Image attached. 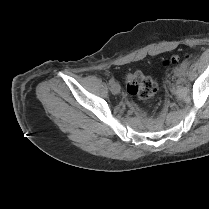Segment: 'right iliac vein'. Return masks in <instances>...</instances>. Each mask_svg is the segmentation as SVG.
I'll list each match as a JSON object with an SVG mask.
<instances>
[{
    "label": "right iliac vein",
    "instance_id": "obj_1",
    "mask_svg": "<svg viewBox=\"0 0 209 209\" xmlns=\"http://www.w3.org/2000/svg\"><path fill=\"white\" fill-rule=\"evenodd\" d=\"M120 89H121V87H120L119 83H117V82L113 83L110 87V90L113 94H118L120 92Z\"/></svg>",
    "mask_w": 209,
    "mask_h": 209
}]
</instances>
